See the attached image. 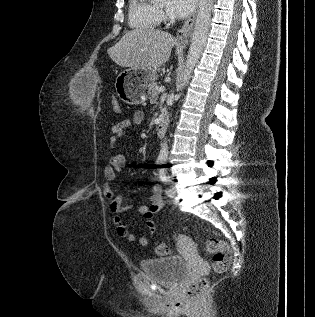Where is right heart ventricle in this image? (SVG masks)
I'll list each match as a JSON object with an SVG mask.
<instances>
[{
  "label": "right heart ventricle",
  "mask_w": 315,
  "mask_h": 317,
  "mask_svg": "<svg viewBox=\"0 0 315 317\" xmlns=\"http://www.w3.org/2000/svg\"><path fill=\"white\" fill-rule=\"evenodd\" d=\"M159 10L150 0H129L128 22L138 30L152 29L159 25Z\"/></svg>",
  "instance_id": "right-heart-ventricle-1"
}]
</instances>
